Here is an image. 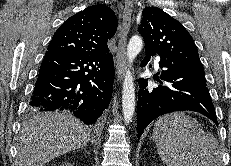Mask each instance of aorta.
Returning <instances> with one entry per match:
<instances>
[{
    "label": "aorta",
    "mask_w": 231,
    "mask_h": 166,
    "mask_svg": "<svg viewBox=\"0 0 231 166\" xmlns=\"http://www.w3.org/2000/svg\"><path fill=\"white\" fill-rule=\"evenodd\" d=\"M143 48V40L140 36L134 35L127 46V58L129 64L133 62L136 56ZM131 67V65L129 66ZM122 109L123 117L126 124L132 121L135 112V87L130 69L126 71L122 90Z\"/></svg>",
    "instance_id": "aorta-1"
}]
</instances>
